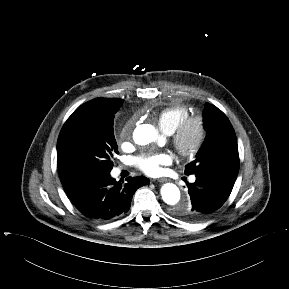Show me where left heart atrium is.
I'll return each mask as SVG.
<instances>
[{"instance_id":"39dd6f15","label":"left heart atrium","mask_w":289,"mask_h":289,"mask_svg":"<svg viewBox=\"0 0 289 289\" xmlns=\"http://www.w3.org/2000/svg\"><path fill=\"white\" fill-rule=\"evenodd\" d=\"M172 161L173 155L169 152H147L135 157L134 164L145 174L155 176L161 173L163 166Z\"/></svg>"}]
</instances>
